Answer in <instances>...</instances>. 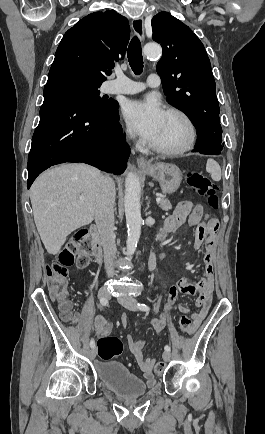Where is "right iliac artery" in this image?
Listing matches in <instances>:
<instances>
[{"label": "right iliac artery", "mask_w": 265, "mask_h": 434, "mask_svg": "<svg viewBox=\"0 0 265 434\" xmlns=\"http://www.w3.org/2000/svg\"><path fill=\"white\" fill-rule=\"evenodd\" d=\"M100 303H101L103 306H106V305L108 304V300L105 299V298H102V299H100ZM90 347H91V348H94V347H95V341H94L93 339H91V341H90Z\"/></svg>", "instance_id": "1"}]
</instances>
